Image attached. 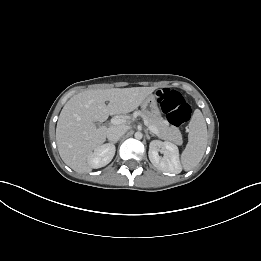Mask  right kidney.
I'll return each instance as SVG.
<instances>
[{
	"label": "right kidney",
	"mask_w": 261,
	"mask_h": 261,
	"mask_svg": "<svg viewBox=\"0 0 261 261\" xmlns=\"http://www.w3.org/2000/svg\"><path fill=\"white\" fill-rule=\"evenodd\" d=\"M115 155V146L113 144H104L97 147L88 158V164L91 168L98 169L111 162Z\"/></svg>",
	"instance_id": "obj_1"
}]
</instances>
